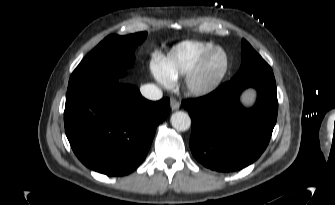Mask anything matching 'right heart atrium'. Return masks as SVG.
Listing matches in <instances>:
<instances>
[{
    "label": "right heart atrium",
    "mask_w": 335,
    "mask_h": 205,
    "mask_svg": "<svg viewBox=\"0 0 335 205\" xmlns=\"http://www.w3.org/2000/svg\"><path fill=\"white\" fill-rule=\"evenodd\" d=\"M151 71L156 81L162 86H170L173 82V78L167 73L164 68L163 59L159 56H155L151 63Z\"/></svg>",
    "instance_id": "right-heart-atrium-1"
}]
</instances>
